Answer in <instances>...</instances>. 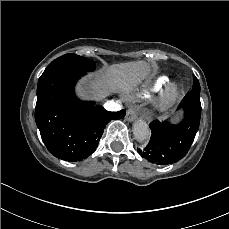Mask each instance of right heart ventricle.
Returning a JSON list of instances; mask_svg holds the SVG:
<instances>
[{"label":"right heart ventricle","mask_w":229,"mask_h":229,"mask_svg":"<svg viewBox=\"0 0 229 229\" xmlns=\"http://www.w3.org/2000/svg\"><path fill=\"white\" fill-rule=\"evenodd\" d=\"M169 78L166 75H159L157 76L152 82L150 83V86L153 90L159 91L166 87L169 84Z\"/></svg>","instance_id":"obj_1"}]
</instances>
